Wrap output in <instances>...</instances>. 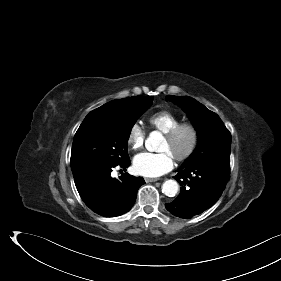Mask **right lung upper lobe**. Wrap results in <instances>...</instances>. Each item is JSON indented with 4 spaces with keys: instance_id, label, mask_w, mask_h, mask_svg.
<instances>
[{
    "instance_id": "obj_1",
    "label": "right lung upper lobe",
    "mask_w": 281,
    "mask_h": 281,
    "mask_svg": "<svg viewBox=\"0 0 281 281\" xmlns=\"http://www.w3.org/2000/svg\"><path fill=\"white\" fill-rule=\"evenodd\" d=\"M136 97V96H135ZM134 97H130V98H124V99H117V100H113V101H110L106 104H104L103 106L95 109V111H111V110H114L116 109L117 107L133 100Z\"/></svg>"
}]
</instances>
